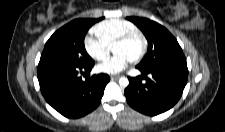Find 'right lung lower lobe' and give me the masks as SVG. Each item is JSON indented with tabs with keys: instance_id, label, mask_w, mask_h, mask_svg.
<instances>
[{
	"instance_id": "98d812e1",
	"label": "right lung lower lobe",
	"mask_w": 225,
	"mask_h": 132,
	"mask_svg": "<svg viewBox=\"0 0 225 132\" xmlns=\"http://www.w3.org/2000/svg\"><path fill=\"white\" fill-rule=\"evenodd\" d=\"M94 62L84 66L57 61H40L38 80L46 101L60 114L79 118L93 111L100 104L107 74L89 76ZM82 80L80 74L86 75Z\"/></svg>"
}]
</instances>
